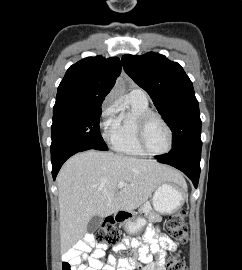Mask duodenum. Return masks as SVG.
<instances>
[{"instance_id": "410a0bca", "label": "duodenum", "mask_w": 242, "mask_h": 270, "mask_svg": "<svg viewBox=\"0 0 242 270\" xmlns=\"http://www.w3.org/2000/svg\"><path fill=\"white\" fill-rule=\"evenodd\" d=\"M120 215H121L120 212L115 213L116 219H117L118 221H122V220H123V219L120 218Z\"/></svg>"}]
</instances>
